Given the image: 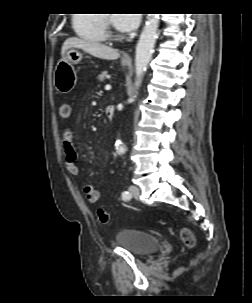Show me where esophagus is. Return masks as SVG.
Returning <instances> with one entry per match:
<instances>
[{
  "label": "esophagus",
  "mask_w": 252,
  "mask_h": 303,
  "mask_svg": "<svg viewBox=\"0 0 252 303\" xmlns=\"http://www.w3.org/2000/svg\"><path fill=\"white\" fill-rule=\"evenodd\" d=\"M122 59L127 61L131 60L130 56L127 54L123 55Z\"/></svg>",
  "instance_id": "34e87169"
}]
</instances>
